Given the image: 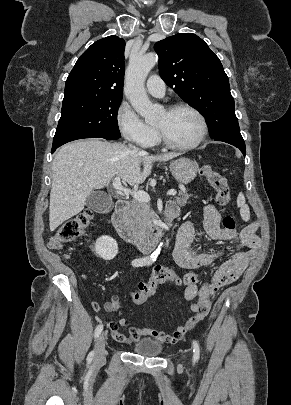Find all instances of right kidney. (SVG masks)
<instances>
[{"label": "right kidney", "mask_w": 291, "mask_h": 405, "mask_svg": "<svg viewBox=\"0 0 291 405\" xmlns=\"http://www.w3.org/2000/svg\"><path fill=\"white\" fill-rule=\"evenodd\" d=\"M95 252L104 260H112L118 254V244L109 236H101L95 243Z\"/></svg>", "instance_id": "obj_1"}]
</instances>
